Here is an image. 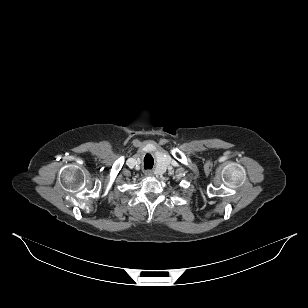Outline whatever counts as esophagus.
I'll use <instances>...</instances> for the list:
<instances>
[{"instance_id":"34e87169","label":"esophagus","mask_w":308,"mask_h":308,"mask_svg":"<svg viewBox=\"0 0 308 308\" xmlns=\"http://www.w3.org/2000/svg\"><path fill=\"white\" fill-rule=\"evenodd\" d=\"M145 176L151 177V176H153V172L151 170H146L145 171Z\"/></svg>"}]
</instances>
